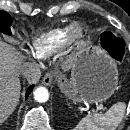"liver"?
Listing matches in <instances>:
<instances>
[{
  "label": "liver",
  "instance_id": "liver-1",
  "mask_svg": "<svg viewBox=\"0 0 130 130\" xmlns=\"http://www.w3.org/2000/svg\"><path fill=\"white\" fill-rule=\"evenodd\" d=\"M21 58L0 40V124L15 110L20 97Z\"/></svg>",
  "mask_w": 130,
  "mask_h": 130
}]
</instances>
